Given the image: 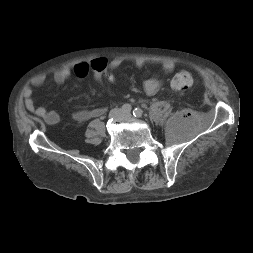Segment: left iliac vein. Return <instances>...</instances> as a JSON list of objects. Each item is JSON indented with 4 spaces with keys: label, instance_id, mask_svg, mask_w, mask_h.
<instances>
[{
    "label": "left iliac vein",
    "instance_id": "1",
    "mask_svg": "<svg viewBox=\"0 0 253 253\" xmlns=\"http://www.w3.org/2000/svg\"><path fill=\"white\" fill-rule=\"evenodd\" d=\"M124 116L127 117V118H130L131 114L130 113H124Z\"/></svg>",
    "mask_w": 253,
    "mask_h": 253
}]
</instances>
